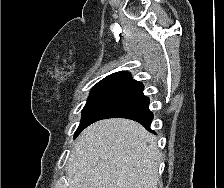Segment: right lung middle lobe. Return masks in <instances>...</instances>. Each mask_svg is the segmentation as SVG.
Here are the masks:
<instances>
[{
	"instance_id": "dd1d6c3e",
	"label": "right lung middle lobe",
	"mask_w": 224,
	"mask_h": 188,
	"mask_svg": "<svg viewBox=\"0 0 224 188\" xmlns=\"http://www.w3.org/2000/svg\"><path fill=\"white\" fill-rule=\"evenodd\" d=\"M130 82L127 80H102L92 88L87 103L82 110V119L75 132V138L88 126L94 114Z\"/></svg>"
}]
</instances>
